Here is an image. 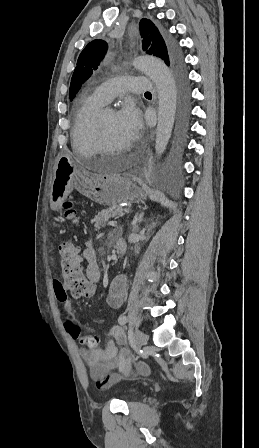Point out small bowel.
Segmentation results:
<instances>
[{"instance_id":"obj_1","label":"small bowel","mask_w":259,"mask_h":448,"mask_svg":"<svg viewBox=\"0 0 259 448\" xmlns=\"http://www.w3.org/2000/svg\"><path fill=\"white\" fill-rule=\"evenodd\" d=\"M83 255L88 261L86 270L87 277L92 284H95L99 280L100 271L96 263L95 250L91 243L87 244ZM53 287L55 297L62 305V313L65 316V329L71 337L79 339L81 342L83 338L81 336V329L85 325L75 316L64 285L60 281L54 280ZM126 287L127 279L124 275L115 277L106 295V304L111 308H118L122 303ZM124 342L125 336L123 331L118 326H114L108 331V341L104 348L81 349L80 355L89 368L90 375L97 381V387L99 389H105L111 386L122 378V376L132 371L131 361L126 351L121 349ZM136 370L139 373L146 374L149 371V367L145 363L139 362L136 365Z\"/></svg>"}]
</instances>
